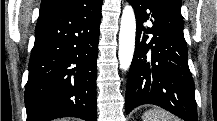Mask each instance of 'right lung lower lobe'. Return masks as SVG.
<instances>
[{"label":"right lung lower lobe","mask_w":217,"mask_h":121,"mask_svg":"<svg viewBox=\"0 0 217 121\" xmlns=\"http://www.w3.org/2000/svg\"><path fill=\"white\" fill-rule=\"evenodd\" d=\"M102 0L39 15L25 88L27 121L97 120L96 77Z\"/></svg>","instance_id":"1"}]
</instances>
